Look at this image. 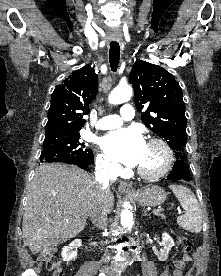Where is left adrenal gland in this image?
<instances>
[{"label": "left adrenal gland", "mask_w": 221, "mask_h": 276, "mask_svg": "<svg viewBox=\"0 0 221 276\" xmlns=\"http://www.w3.org/2000/svg\"><path fill=\"white\" fill-rule=\"evenodd\" d=\"M143 215H144V216L148 215L146 210H144Z\"/></svg>", "instance_id": "a2214340"}]
</instances>
